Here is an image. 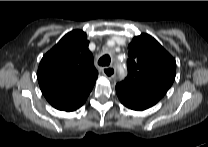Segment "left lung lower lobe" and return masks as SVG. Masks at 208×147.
<instances>
[{
	"mask_svg": "<svg viewBox=\"0 0 208 147\" xmlns=\"http://www.w3.org/2000/svg\"><path fill=\"white\" fill-rule=\"evenodd\" d=\"M116 93L124 106L136 111L148 109L159 101L156 96L127 87L121 83L116 85Z\"/></svg>",
	"mask_w": 208,
	"mask_h": 147,
	"instance_id": "obj_1",
	"label": "left lung lower lobe"
}]
</instances>
